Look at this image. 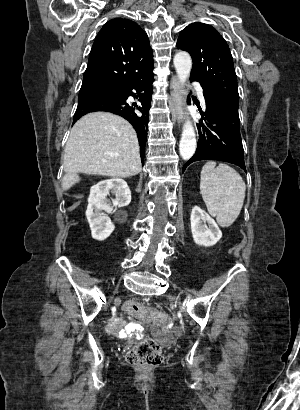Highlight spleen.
<instances>
[{"instance_id":"1","label":"spleen","mask_w":300,"mask_h":410,"mask_svg":"<svg viewBox=\"0 0 300 410\" xmlns=\"http://www.w3.org/2000/svg\"><path fill=\"white\" fill-rule=\"evenodd\" d=\"M200 192L210 215L229 227L239 216L246 192L240 174L225 163L207 162L201 171Z\"/></svg>"}]
</instances>
